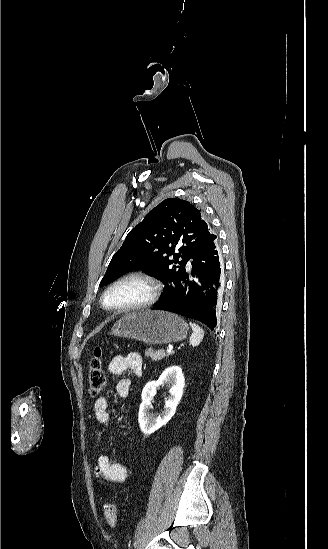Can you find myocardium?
<instances>
[{
	"instance_id": "obj_1",
	"label": "myocardium",
	"mask_w": 328,
	"mask_h": 549,
	"mask_svg": "<svg viewBox=\"0 0 328 549\" xmlns=\"http://www.w3.org/2000/svg\"><path fill=\"white\" fill-rule=\"evenodd\" d=\"M129 279H137L146 284L148 288L146 297L138 302L122 306L109 305L106 302L107 295L117 286ZM161 292L162 283L156 276L140 268H133L115 278L104 288L99 299L100 308L104 312L112 315H126L134 312L146 311L154 307V304L159 299Z\"/></svg>"
}]
</instances>
